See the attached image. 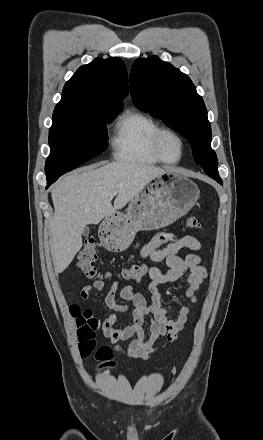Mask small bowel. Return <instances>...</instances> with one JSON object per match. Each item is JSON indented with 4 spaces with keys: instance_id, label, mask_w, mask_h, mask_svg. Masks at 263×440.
<instances>
[{
    "instance_id": "obj_1",
    "label": "small bowel",
    "mask_w": 263,
    "mask_h": 440,
    "mask_svg": "<svg viewBox=\"0 0 263 440\" xmlns=\"http://www.w3.org/2000/svg\"><path fill=\"white\" fill-rule=\"evenodd\" d=\"M201 248L199 240L193 236L173 237L169 233H161L147 242L138 244L140 258H149L153 265L148 274L151 280L148 301L143 294L134 290L131 285L121 287L119 280L109 284V290L104 298L105 305L113 313L108 315L101 324L103 336L110 340L116 350L132 359H148L157 351L154 344L161 338L168 342L174 341L184 329L191 313L192 304L197 300V291L206 279V269L201 265V258L197 254H188L184 258L178 256L182 249L197 251ZM161 266L167 267L163 272ZM185 279L183 297L189 301L186 306L176 310L174 316L162 305V296L159 286L166 283ZM107 286L102 279H95L85 285L80 292L83 300H89L94 291H101ZM119 292L123 303L117 301ZM132 309L133 322L127 326L117 325L116 313H125ZM151 316L149 336L143 329L145 319ZM130 340L127 347L119 342Z\"/></svg>"
}]
</instances>
